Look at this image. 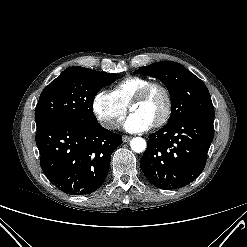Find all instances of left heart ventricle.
I'll use <instances>...</instances> for the list:
<instances>
[{"mask_svg": "<svg viewBox=\"0 0 247 247\" xmlns=\"http://www.w3.org/2000/svg\"><path fill=\"white\" fill-rule=\"evenodd\" d=\"M165 98L161 91L154 90L146 100L135 104L132 112L141 115L148 122L153 124L163 114L165 110Z\"/></svg>", "mask_w": 247, "mask_h": 247, "instance_id": "1", "label": "left heart ventricle"}]
</instances>
